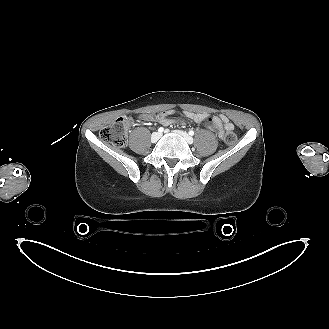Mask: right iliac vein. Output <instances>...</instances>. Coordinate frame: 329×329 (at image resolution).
Here are the masks:
<instances>
[{
  "mask_svg": "<svg viewBox=\"0 0 329 329\" xmlns=\"http://www.w3.org/2000/svg\"><path fill=\"white\" fill-rule=\"evenodd\" d=\"M160 136H161L160 133H157V132L153 133L151 136V142L152 143L157 142V140L160 138Z\"/></svg>",
  "mask_w": 329,
  "mask_h": 329,
  "instance_id": "right-iliac-vein-1",
  "label": "right iliac vein"
}]
</instances>
